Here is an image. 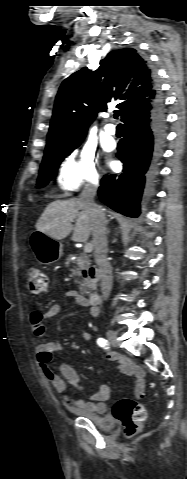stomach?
I'll use <instances>...</instances> for the list:
<instances>
[{
	"instance_id": "1",
	"label": "stomach",
	"mask_w": 187,
	"mask_h": 479,
	"mask_svg": "<svg viewBox=\"0 0 187 479\" xmlns=\"http://www.w3.org/2000/svg\"><path fill=\"white\" fill-rule=\"evenodd\" d=\"M30 246L36 260L41 264H52L63 255L62 243L41 231H35L31 234Z\"/></svg>"
}]
</instances>
